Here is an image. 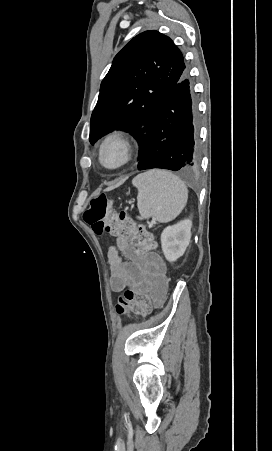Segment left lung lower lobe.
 Instances as JSON below:
<instances>
[{
	"label": "left lung lower lobe",
	"instance_id": "1",
	"mask_svg": "<svg viewBox=\"0 0 272 451\" xmlns=\"http://www.w3.org/2000/svg\"><path fill=\"white\" fill-rule=\"evenodd\" d=\"M192 84L185 71L165 100L138 170L191 171L199 163Z\"/></svg>",
	"mask_w": 272,
	"mask_h": 451
}]
</instances>
